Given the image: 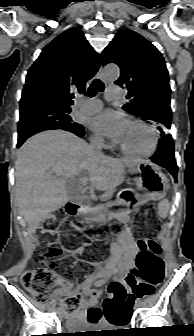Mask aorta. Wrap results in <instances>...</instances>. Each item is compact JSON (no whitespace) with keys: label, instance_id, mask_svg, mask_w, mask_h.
Here are the masks:
<instances>
[{"label":"aorta","instance_id":"aorta-1","mask_svg":"<svg viewBox=\"0 0 194 336\" xmlns=\"http://www.w3.org/2000/svg\"><path fill=\"white\" fill-rule=\"evenodd\" d=\"M120 71L116 65H107L103 69V75L105 78L115 80L119 77Z\"/></svg>","mask_w":194,"mask_h":336}]
</instances>
